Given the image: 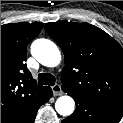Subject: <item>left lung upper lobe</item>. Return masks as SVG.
Returning a JSON list of instances; mask_svg holds the SVG:
<instances>
[{
	"instance_id": "5c2ea615",
	"label": "left lung upper lobe",
	"mask_w": 123,
	"mask_h": 123,
	"mask_svg": "<svg viewBox=\"0 0 123 123\" xmlns=\"http://www.w3.org/2000/svg\"><path fill=\"white\" fill-rule=\"evenodd\" d=\"M65 56L63 90L123 109V48L110 35L88 23L45 25Z\"/></svg>"
}]
</instances>
